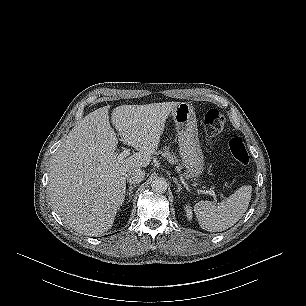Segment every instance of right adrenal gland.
<instances>
[{
  "label": "right adrenal gland",
  "mask_w": 306,
  "mask_h": 306,
  "mask_svg": "<svg viewBox=\"0 0 306 306\" xmlns=\"http://www.w3.org/2000/svg\"><path fill=\"white\" fill-rule=\"evenodd\" d=\"M136 187V185L134 184V185H130L129 186V188H128V190H127V193H126V195L129 197V202H130V200H131V198H132V193H133V189Z\"/></svg>",
  "instance_id": "1"
}]
</instances>
